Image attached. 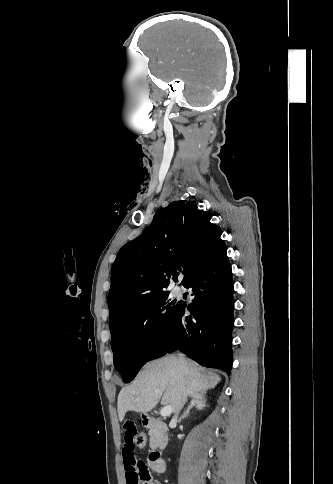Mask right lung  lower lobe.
I'll list each match as a JSON object with an SVG mask.
<instances>
[{"label": "right lung lower lobe", "mask_w": 333, "mask_h": 484, "mask_svg": "<svg viewBox=\"0 0 333 484\" xmlns=\"http://www.w3.org/2000/svg\"><path fill=\"white\" fill-rule=\"evenodd\" d=\"M194 292L192 303L180 305L175 319L154 348L149 361L180 350L198 363L228 374L233 355V281L225 244L185 285ZM190 315H185V310Z\"/></svg>", "instance_id": "98d812e1"}]
</instances>
